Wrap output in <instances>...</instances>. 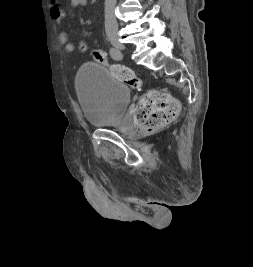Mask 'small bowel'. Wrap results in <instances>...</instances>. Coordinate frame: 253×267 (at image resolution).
Returning <instances> with one entry per match:
<instances>
[{"label":"small bowel","mask_w":253,"mask_h":267,"mask_svg":"<svg viewBox=\"0 0 253 267\" xmlns=\"http://www.w3.org/2000/svg\"><path fill=\"white\" fill-rule=\"evenodd\" d=\"M69 2L70 5L74 8H81L87 4V0H69ZM48 3L52 18L60 21L63 18L64 14L60 7L59 0H48ZM58 41L65 52L71 53L75 50L74 43L69 39L67 32L63 29H61L58 33Z\"/></svg>","instance_id":"obj_1"}]
</instances>
